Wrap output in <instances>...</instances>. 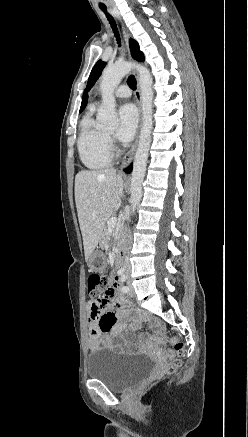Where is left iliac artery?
Returning a JSON list of instances; mask_svg holds the SVG:
<instances>
[{
    "label": "left iliac artery",
    "instance_id": "obj_1",
    "mask_svg": "<svg viewBox=\"0 0 248 437\" xmlns=\"http://www.w3.org/2000/svg\"><path fill=\"white\" fill-rule=\"evenodd\" d=\"M126 279H127V276L123 275L120 279L121 283L123 284L126 281ZM121 290H122V292L127 293L129 291V288L127 286L123 285L121 287Z\"/></svg>",
    "mask_w": 248,
    "mask_h": 437
}]
</instances>
